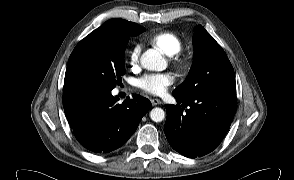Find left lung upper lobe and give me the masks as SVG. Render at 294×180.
Returning <instances> with one entry per match:
<instances>
[{"label":"left lung upper lobe","mask_w":294,"mask_h":180,"mask_svg":"<svg viewBox=\"0 0 294 180\" xmlns=\"http://www.w3.org/2000/svg\"><path fill=\"white\" fill-rule=\"evenodd\" d=\"M193 65L185 81L173 93L180 96L193 94H225L236 96L233 67L220 45L197 25L193 35Z\"/></svg>","instance_id":"obj_1"}]
</instances>
